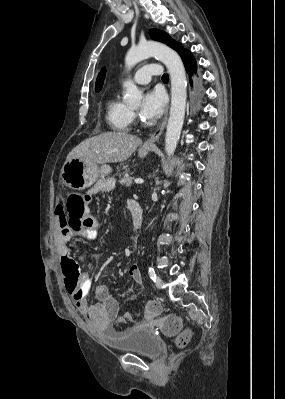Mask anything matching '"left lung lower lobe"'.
Here are the masks:
<instances>
[{
    "mask_svg": "<svg viewBox=\"0 0 285 399\" xmlns=\"http://www.w3.org/2000/svg\"><path fill=\"white\" fill-rule=\"evenodd\" d=\"M180 56L182 58V61L184 63L186 72L189 75H192L193 73H196L197 70V63L195 58L193 57L191 51L185 49L180 53ZM190 83H192V80L190 79Z\"/></svg>",
    "mask_w": 285,
    "mask_h": 399,
    "instance_id": "obj_1",
    "label": "left lung lower lobe"
}]
</instances>
